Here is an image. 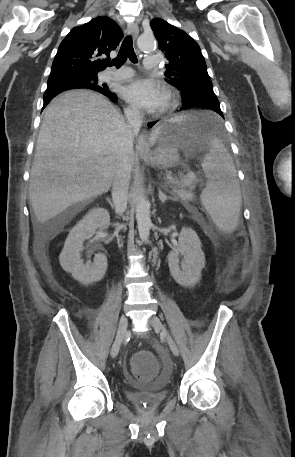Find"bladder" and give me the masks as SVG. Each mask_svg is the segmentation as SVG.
Here are the masks:
<instances>
[{"instance_id": "obj_1", "label": "bladder", "mask_w": 295, "mask_h": 457, "mask_svg": "<svg viewBox=\"0 0 295 457\" xmlns=\"http://www.w3.org/2000/svg\"><path fill=\"white\" fill-rule=\"evenodd\" d=\"M154 353L157 354L158 361L161 362V373L159 378H151L150 385H145L144 390H129L126 397L133 404L134 411H157L169 397V392L164 388L165 384L172 378L174 368L170 360L171 355L165 352L164 345H155ZM130 364V360H129ZM120 376L126 378L128 383H132L134 378L130 376V366L123 364L121 366Z\"/></svg>"}]
</instances>
